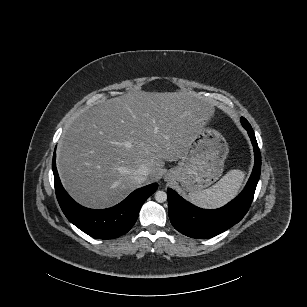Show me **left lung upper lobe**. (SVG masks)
Segmentation results:
<instances>
[{
    "instance_id": "5c2ea615",
    "label": "left lung upper lobe",
    "mask_w": 307,
    "mask_h": 307,
    "mask_svg": "<svg viewBox=\"0 0 307 307\" xmlns=\"http://www.w3.org/2000/svg\"><path fill=\"white\" fill-rule=\"evenodd\" d=\"M241 123L248 126V127L250 126L249 122L243 117L241 118Z\"/></svg>"
}]
</instances>
